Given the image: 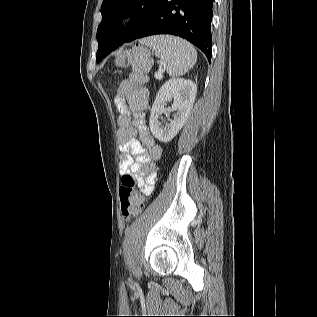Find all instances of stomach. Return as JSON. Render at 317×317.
Here are the masks:
<instances>
[{"label":"stomach","mask_w":317,"mask_h":317,"mask_svg":"<svg viewBox=\"0 0 317 317\" xmlns=\"http://www.w3.org/2000/svg\"><path fill=\"white\" fill-rule=\"evenodd\" d=\"M134 50H135V49H134ZM134 50H133V52H132L131 54H129L130 56L134 53ZM136 51H137V49H136ZM142 51L144 52V55H145L146 57H149V52H148L147 49H142Z\"/></svg>","instance_id":"stomach-1"}]
</instances>
